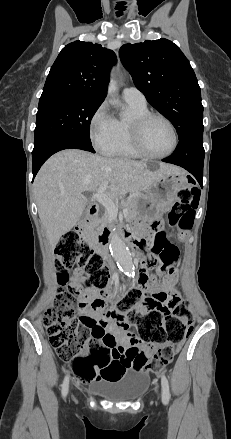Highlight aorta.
Here are the masks:
<instances>
[{
	"instance_id": "762f6f07",
	"label": "aorta",
	"mask_w": 231,
	"mask_h": 439,
	"mask_svg": "<svg viewBox=\"0 0 231 439\" xmlns=\"http://www.w3.org/2000/svg\"><path fill=\"white\" fill-rule=\"evenodd\" d=\"M117 90V84L111 81L108 87V96L112 97ZM111 102H114L111 100ZM110 250L113 258L117 262L118 266L126 274L131 275L134 271V264L132 261L131 253L124 241L121 239L117 232L111 234Z\"/></svg>"
}]
</instances>
